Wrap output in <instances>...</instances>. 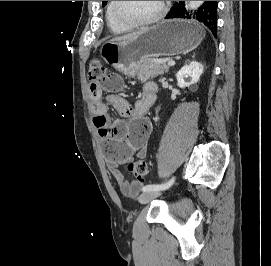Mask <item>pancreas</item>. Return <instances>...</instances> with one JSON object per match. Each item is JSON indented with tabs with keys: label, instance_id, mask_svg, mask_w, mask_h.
Returning <instances> with one entry per match:
<instances>
[{
	"label": "pancreas",
	"instance_id": "cf45deb5",
	"mask_svg": "<svg viewBox=\"0 0 271 266\" xmlns=\"http://www.w3.org/2000/svg\"><path fill=\"white\" fill-rule=\"evenodd\" d=\"M168 59L158 60L154 58H146L140 66L139 75L143 78H153L168 72L169 65L166 64Z\"/></svg>",
	"mask_w": 271,
	"mask_h": 266
}]
</instances>
